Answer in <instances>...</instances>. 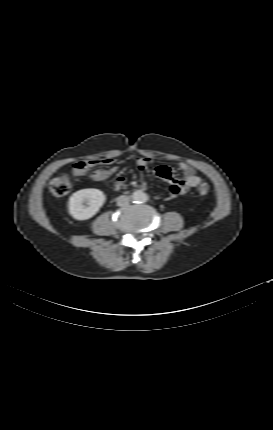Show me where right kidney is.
Wrapping results in <instances>:
<instances>
[{"label": "right kidney", "mask_w": 273, "mask_h": 430, "mask_svg": "<svg viewBox=\"0 0 273 430\" xmlns=\"http://www.w3.org/2000/svg\"><path fill=\"white\" fill-rule=\"evenodd\" d=\"M105 200L104 193L99 189L79 190L69 198V213L76 220L90 219L99 211Z\"/></svg>", "instance_id": "obj_1"}]
</instances>
